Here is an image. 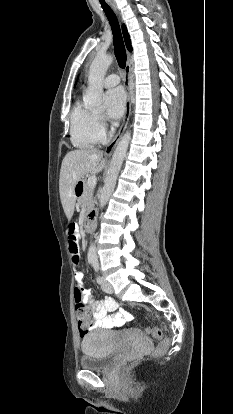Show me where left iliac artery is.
Returning <instances> with one entry per match:
<instances>
[{
    "mask_svg": "<svg viewBox=\"0 0 233 414\" xmlns=\"http://www.w3.org/2000/svg\"><path fill=\"white\" fill-rule=\"evenodd\" d=\"M93 267L95 269V272L98 273L99 264L97 262H94L93 263ZM96 280H97V283H99V284H102L103 283V278L100 275H98V274H97Z\"/></svg>",
    "mask_w": 233,
    "mask_h": 414,
    "instance_id": "44dca946",
    "label": "left iliac artery"
}]
</instances>
